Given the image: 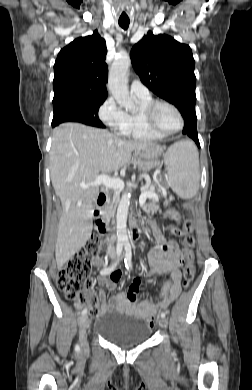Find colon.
<instances>
[{"mask_svg": "<svg viewBox=\"0 0 252 390\" xmlns=\"http://www.w3.org/2000/svg\"><path fill=\"white\" fill-rule=\"evenodd\" d=\"M165 217L176 222L182 221V217L175 210L166 211ZM170 229L175 234L183 235L182 247L187 260V264L183 269V284L187 287L195 276L193 253L195 240L191 235L193 222L191 219H186L183 221L182 230L174 227ZM102 251V237L99 234L92 235L77 255L59 269L57 276L58 287L68 298L85 307L91 317H97L100 314L99 299L89 292L91 286V260L99 257ZM149 323L153 324L152 316L149 318Z\"/></svg>", "mask_w": 252, "mask_h": 390, "instance_id": "1", "label": "colon"}]
</instances>
